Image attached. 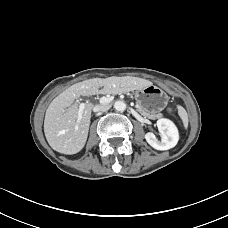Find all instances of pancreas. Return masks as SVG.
Instances as JSON below:
<instances>
[{
  "mask_svg": "<svg viewBox=\"0 0 228 228\" xmlns=\"http://www.w3.org/2000/svg\"><path fill=\"white\" fill-rule=\"evenodd\" d=\"M135 109H137V111H140V113H143L144 115H146L149 118L155 119V118H160L163 115L161 113L155 114V113H144V110L141 108H138V106H135Z\"/></svg>",
  "mask_w": 228,
  "mask_h": 228,
  "instance_id": "cf45deb5",
  "label": "pancreas"
}]
</instances>
